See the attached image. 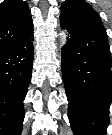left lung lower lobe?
<instances>
[{"mask_svg": "<svg viewBox=\"0 0 112 135\" xmlns=\"http://www.w3.org/2000/svg\"><path fill=\"white\" fill-rule=\"evenodd\" d=\"M69 33L62 49V76L75 135H105L112 102V59L106 31L60 19Z\"/></svg>", "mask_w": 112, "mask_h": 135, "instance_id": "1", "label": "left lung lower lobe"}]
</instances>
